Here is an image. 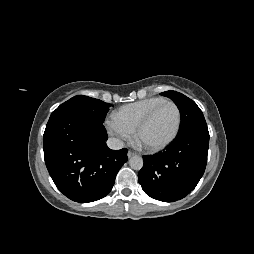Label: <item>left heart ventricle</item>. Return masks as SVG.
I'll list each match as a JSON object with an SVG mask.
<instances>
[{
  "instance_id": "left-heart-ventricle-1",
  "label": "left heart ventricle",
  "mask_w": 254,
  "mask_h": 254,
  "mask_svg": "<svg viewBox=\"0 0 254 254\" xmlns=\"http://www.w3.org/2000/svg\"><path fill=\"white\" fill-rule=\"evenodd\" d=\"M177 122V112L173 105H163L149 124L142 130L140 141L147 146H157L165 142L173 133Z\"/></svg>"
}]
</instances>
